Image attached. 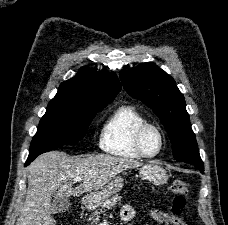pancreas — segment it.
<instances>
[{"instance_id": "obj_1", "label": "pancreas", "mask_w": 228, "mask_h": 225, "mask_svg": "<svg viewBox=\"0 0 228 225\" xmlns=\"http://www.w3.org/2000/svg\"><path fill=\"white\" fill-rule=\"evenodd\" d=\"M121 199L122 197H118V195H115V197H112V199H109V201H104L102 205V209H93L94 213H91L90 215L92 225H97L100 219L99 215H102V213H105L107 209H112L114 205H118Z\"/></svg>"}]
</instances>
